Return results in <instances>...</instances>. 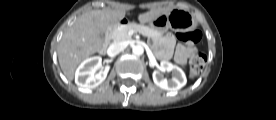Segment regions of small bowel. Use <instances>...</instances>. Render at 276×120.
Returning <instances> with one entry per match:
<instances>
[{
  "instance_id": "1",
  "label": "small bowel",
  "mask_w": 276,
  "mask_h": 120,
  "mask_svg": "<svg viewBox=\"0 0 276 120\" xmlns=\"http://www.w3.org/2000/svg\"><path fill=\"white\" fill-rule=\"evenodd\" d=\"M175 44V37L172 34H168L161 42V48L158 51V56L162 59H168L173 53V47ZM195 53V49L190 44H179L176 47L174 53V59L179 64H185L187 59Z\"/></svg>"
}]
</instances>
